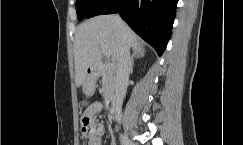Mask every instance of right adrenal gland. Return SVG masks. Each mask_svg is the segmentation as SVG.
<instances>
[{"label": "right adrenal gland", "mask_w": 243, "mask_h": 145, "mask_svg": "<svg viewBox=\"0 0 243 145\" xmlns=\"http://www.w3.org/2000/svg\"><path fill=\"white\" fill-rule=\"evenodd\" d=\"M144 56H145L144 47H142V46L136 47L133 51V54H132V64H134V59L142 58Z\"/></svg>", "instance_id": "obj_1"}]
</instances>
